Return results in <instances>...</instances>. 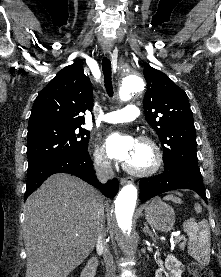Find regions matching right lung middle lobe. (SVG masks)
<instances>
[{"label":"right lung middle lobe","mask_w":221,"mask_h":277,"mask_svg":"<svg viewBox=\"0 0 221 277\" xmlns=\"http://www.w3.org/2000/svg\"><path fill=\"white\" fill-rule=\"evenodd\" d=\"M90 132L78 124H44L28 126V171L38 165L87 151Z\"/></svg>","instance_id":"right-lung-middle-lobe-1"}]
</instances>
